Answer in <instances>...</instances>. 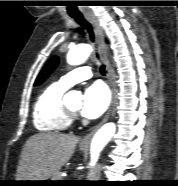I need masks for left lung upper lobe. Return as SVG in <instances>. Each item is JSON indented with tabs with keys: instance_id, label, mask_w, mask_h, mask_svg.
Returning a JSON list of instances; mask_svg holds the SVG:
<instances>
[{
	"instance_id": "left-lung-upper-lobe-1",
	"label": "left lung upper lobe",
	"mask_w": 178,
	"mask_h": 186,
	"mask_svg": "<svg viewBox=\"0 0 178 186\" xmlns=\"http://www.w3.org/2000/svg\"><path fill=\"white\" fill-rule=\"evenodd\" d=\"M59 62V58L57 56H53L50 58V60L47 62L43 70L38 75L35 85L41 84L56 68L57 64Z\"/></svg>"
}]
</instances>
